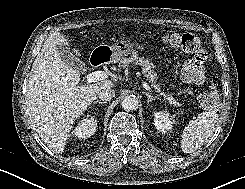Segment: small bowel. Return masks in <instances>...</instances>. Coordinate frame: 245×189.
I'll return each instance as SVG.
<instances>
[{
	"label": "small bowel",
	"instance_id": "obj_1",
	"mask_svg": "<svg viewBox=\"0 0 245 189\" xmlns=\"http://www.w3.org/2000/svg\"><path fill=\"white\" fill-rule=\"evenodd\" d=\"M202 84V81L201 82H199V85H201Z\"/></svg>",
	"mask_w": 245,
	"mask_h": 189
}]
</instances>
